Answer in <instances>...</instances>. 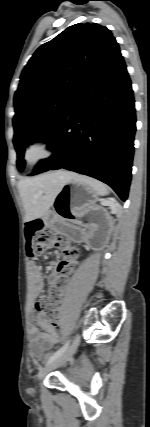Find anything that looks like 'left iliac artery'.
<instances>
[{
	"label": "left iliac artery",
	"instance_id": "obj_1",
	"mask_svg": "<svg viewBox=\"0 0 150 427\" xmlns=\"http://www.w3.org/2000/svg\"><path fill=\"white\" fill-rule=\"evenodd\" d=\"M69 344H70V340H68L60 349H58L55 353H53L49 357L47 363L52 362L53 360H55L56 358H58L61 354H63L68 349Z\"/></svg>",
	"mask_w": 150,
	"mask_h": 427
}]
</instances>
